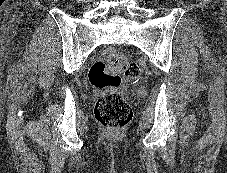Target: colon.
Instances as JSON below:
<instances>
[{
	"mask_svg": "<svg viewBox=\"0 0 227 173\" xmlns=\"http://www.w3.org/2000/svg\"><path fill=\"white\" fill-rule=\"evenodd\" d=\"M103 56V60L91 66L88 75L91 85L103 92L95 105V117L106 129L119 131L130 122L132 111L117 89L122 82V76L135 81L140 78L141 70L136 63L129 61L113 48L106 49ZM109 64L120 73L109 71Z\"/></svg>",
	"mask_w": 227,
	"mask_h": 173,
	"instance_id": "colon-1",
	"label": "colon"
}]
</instances>
